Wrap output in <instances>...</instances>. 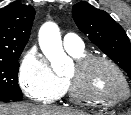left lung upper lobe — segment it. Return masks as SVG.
<instances>
[{
    "label": "left lung upper lobe",
    "instance_id": "5c2ea615",
    "mask_svg": "<svg viewBox=\"0 0 131 115\" xmlns=\"http://www.w3.org/2000/svg\"><path fill=\"white\" fill-rule=\"evenodd\" d=\"M78 28L131 79V44L123 28L110 15L81 1L72 8Z\"/></svg>",
    "mask_w": 131,
    "mask_h": 115
}]
</instances>
